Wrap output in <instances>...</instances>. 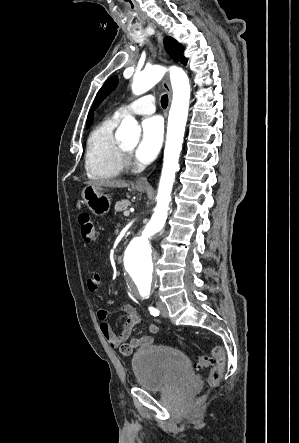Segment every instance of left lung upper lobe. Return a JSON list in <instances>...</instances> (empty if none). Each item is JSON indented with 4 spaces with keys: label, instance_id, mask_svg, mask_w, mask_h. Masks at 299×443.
<instances>
[{
    "label": "left lung upper lobe",
    "instance_id": "obj_1",
    "mask_svg": "<svg viewBox=\"0 0 299 443\" xmlns=\"http://www.w3.org/2000/svg\"><path fill=\"white\" fill-rule=\"evenodd\" d=\"M164 45L170 57L175 62L186 64L187 61L183 56L184 48L181 44H178V42L171 37H166L164 39ZM117 82V76H112L104 83L95 98L94 107H97L100 102L116 88Z\"/></svg>",
    "mask_w": 299,
    "mask_h": 443
}]
</instances>
